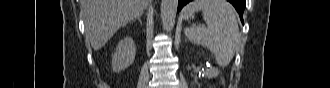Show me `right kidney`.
<instances>
[{
    "label": "right kidney",
    "mask_w": 330,
    "mask_h": 88,
    "mask_svg": "<svg viewBox=\"0 0 330 88\" xmlns=\"http://www.w3.org/2000/svg\"><path fill=\"white\" fill-rule=\"evenodd\" d=\"M135 54L136 47L134 40L131 37L122 39L112 56V70L114 72H120L129 67L134 62Z\"/></svg>",
    "instance_id": "obj_1"
}]
</instances>
